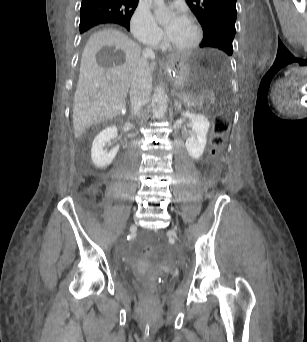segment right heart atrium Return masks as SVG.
Wrapping results in <instances>:
<instances>
[{
    "label": "right heart atrium",
    "mask_w": 307,
    "mask_h": 342,
    "mask_svg": "<svg viewBox=\"0 0 307 342\" xmlns=\"http://www.w3.org/2000/svg\"><path fill=\"white\" fill-rule=\"evenodd\" d=\"M130 32L132 36L142 43L156 46L158 43V31L151 21L149 14L145 11H136L130 21Z\"/></svg>",
    "instance_id": "d8ad5b80"
}]
</instances>
